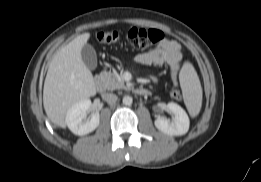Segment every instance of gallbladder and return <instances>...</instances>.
<instances>
[{
    "label": "gallbladder",
    "instance_id": "1",
    "mask_svg": "<svg viewBox=\"0 0 261 182\" xmlns=\"http://www.w3.org/2000/svg\"><path fill=\"white\" fill-rule=\"evenodd\" d=\"M81 57L88 69L94 70L97 67L96 51L90 44H85L82 47Z\"/></svg>",
    "mask_w": 261,
    "mask_h": 182
}]
</instances>
